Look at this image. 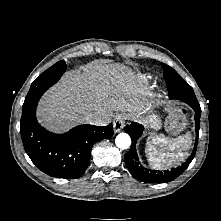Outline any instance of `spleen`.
<instances>
[{
  "instance_id": "1",
  "label": "spleen",
  "mask_w": 221,
  "mask_h": 221,
  "mask_svg": "<svg viewBox=\"0 0 221 221\" xmlns=\"http://www.w3.org/2000/svg\"><path fill=\"white\" fill-rule=\"evenodd\" d=\"M191 136L186 134L175 139L159 134L149 137L145 153L152 168L161 169L181 162L188 155L191 146Z\"/></svg>"
}]
</instances>
